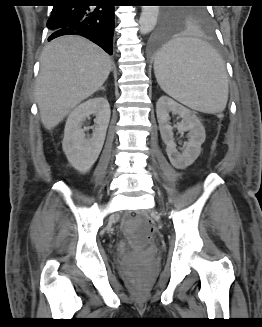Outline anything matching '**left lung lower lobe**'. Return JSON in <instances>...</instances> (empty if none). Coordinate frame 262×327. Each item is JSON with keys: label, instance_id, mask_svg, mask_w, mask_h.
<instances>
[{"label": "left lung lower lobe", "instance_id": "left-lung-lower-lobe-1", "mask_svg": "<svg viewBox=\"0 0 262 327\" xmlns=\"http://www.w3.org/2000/svg\"><path fill=\"white\" fill-rule=\"evenodd\" d=\"M170 28L160 25L151 35L148 48L150 52H159L163 49L170 39Z\"/></svg>", "mask_w": 262, "mask_h": 327}]
</instances>
